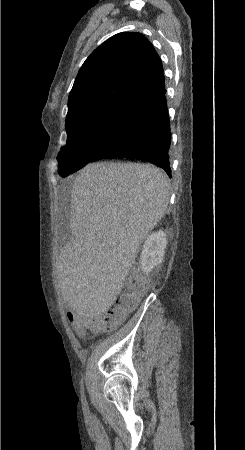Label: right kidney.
I'll use <instances>...</instances> for the list:
<instances>
[{
	"label": "right kidney",
	"instance_id": "right-kidney-1",
	"mask_svg": "<svg viewBox=\"0 0 245 450\" xmlns=\"http://www.w3.org/2000/svg\"><path fill=\"white\" fill-rule=\"evenodd\" d=\"M166 245V234L163 231L152 233L146 238L139 260L141 270L146 273V275L161 264L164 258Z\"/></svg>",
	"mask_w": 245,
	"mask_h": 450
}]
</instances>
